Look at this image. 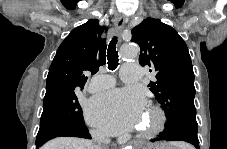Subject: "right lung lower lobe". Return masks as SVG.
<instances>
[{"instance_id": "right-lung-lower-lobe-1", "label": "right lung lower lobe", "mask_w": 227, "mask_h": 149, "mask_svg": "<svg viewBox=\"0 0 227 149\" xmlns=\"http://www.w3.org/2000/svg\"><path fill=\"white\" fill-rule=\"evenodd\" d=\"M59 136L81 137L90 139L91 136L84 124H68L64 126H44L40 127L37 138L36 148L38 149L48 140Z\"/></svg>"}]
</instances>
